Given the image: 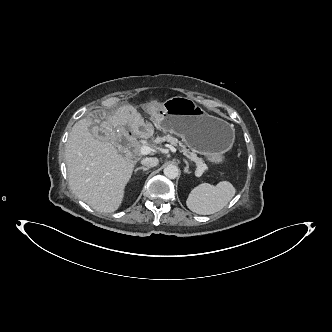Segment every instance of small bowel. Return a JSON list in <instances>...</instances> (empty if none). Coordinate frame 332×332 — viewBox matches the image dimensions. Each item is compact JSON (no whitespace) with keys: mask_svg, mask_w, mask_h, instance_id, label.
<instances>
[{"mask_svg":"<svg viewBox=\"0 0 332 332\" xmlns=\"http://www.w3.org/2000/svg\"><path fill=\"white\" fill-rule=\"evenodd\" d=\"M145 113L149 118H155L161 113V104L157 100H148L145 103ZM113 119V112L109 108H100L92 111L88 115V122L92 126H99L102 123H109ZM134 133L142 138H148L153 135L154 128L151 124L138 121L133 126Z\"/></svg>","mask_w":332,"mask_h":332,"instance_id":"small-bowel-1","label":"small bowel"}]
</instances>
